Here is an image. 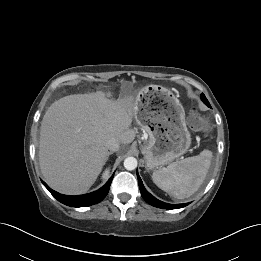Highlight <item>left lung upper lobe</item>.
Listing matches in <instances>:
<instances>
[{
  "instance_id": "obj_1",
  "label": "left lung upper lobe",
  "mask_w": 261,
  "mask_h": 261,
  "mask_svg": "<svg viewBox=\"0 0 261 261\" xmlns=\"http://www.w3.org/2000/svg\"><path fill=\"white\" fill-rule=\"evenodd\" d=\"M201 99H202V101H203L207 106L210 107V104H209L207 98L205 97V95H204L203 93L201 94Z\"/></svg>"
}]
</instances>
